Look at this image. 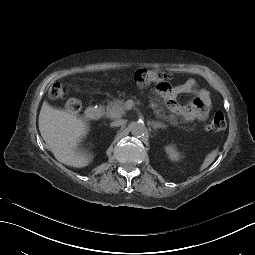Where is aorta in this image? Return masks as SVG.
Listing matches in <instances>:
<instances>
[{
  "instance_id": "762f6f07",
  "label": "aorta",
  "mask_w": 255,
  "mask_h": 255,
  "mask_svg": "<svg viewBox=\"0 0 255 255\" xmlns=\"http://www.w3.org/2000/svg\"><path fill=\"white\" fill-rule=\"evenodd\" d=\"M131 134L135 137H141L146 133V127L143 123L134 122L130 126Z\"/></svg>"
}]
</instances>
